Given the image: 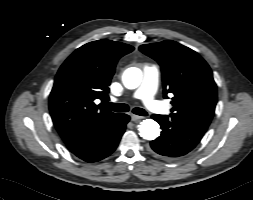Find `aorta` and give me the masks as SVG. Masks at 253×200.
I'll return each instance as SVG.
<instances>
[{"mask_svg": "<svg viewBox=\"0 0 253 200\" xmlns=\"http://www.w3.org/2000/svg\"><path fill=\"white\" fill-rule=\"evenodd\" d=\"M142 79V72L138 68H129L123 74V84L128 89H135ZM139 134L145 140H154L160 135L159 124L152 119H145L139 125Z\"/></svg>", "mask_w": 253, "mask_h": 200, "instance_id": "762f6f07", "label": "aorta"}]
</instances>
